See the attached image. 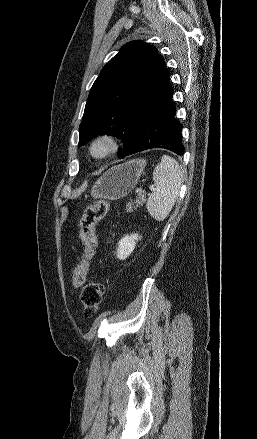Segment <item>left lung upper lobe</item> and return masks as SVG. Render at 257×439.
<instances>
[{"label": "left lung upper lobe", "mask_w": 257, "mask_h": 439, "mask_svg": "<svg viewBox=\"0 0 257 439\" xmlns=\"http://www.w3.org/2000/svg\"><path fill=\"white\" fill-rule=\"evenodd\" d=\"M170 73L154 46L128 42L101 70L87 99L79 146L97 135L117 136L124 158L135 146L141 123L169 87Z\"/></svg>", "instance_id": "left-lung-upper-lobe-1"}]
</instances>
